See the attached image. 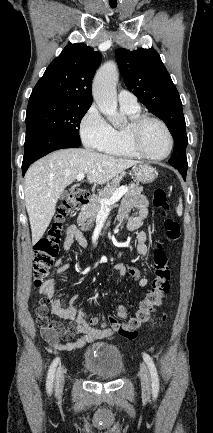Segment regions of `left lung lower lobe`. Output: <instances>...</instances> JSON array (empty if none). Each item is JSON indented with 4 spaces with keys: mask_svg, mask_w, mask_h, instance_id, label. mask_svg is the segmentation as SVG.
<instances>
[{
    "mask_svg": "<svg viewBox=\"0 0 213 433\" xmlns=\"http://www.w3.org/2000/svg\"><path fill=\"white\" fill-rule=\"evenodd\" d=\"M176 169H178V171L182 174L184 180H186L187 170H185V169H180V168H176Z\"/></svg>",
    "mask_w": 213,
    "mask_h": 433,
    "instance_id": "obj_1",
    "label": "left lung lower lobe"
}]
</instances>
